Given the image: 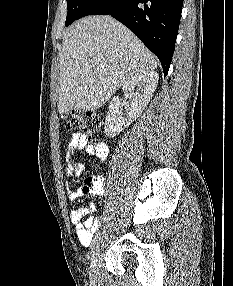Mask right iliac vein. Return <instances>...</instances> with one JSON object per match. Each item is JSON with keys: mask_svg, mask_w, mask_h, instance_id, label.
<instances>
[{"mask_svg": "<svg viewBox=\"0 0 233 286\" xmlns=\"http://www.w3.org/2000/svg\"><path fill=\"white\" fill-rule=\"evenodd\" d=\"M100 262H101L100 248L99 245H97L91 257V265L89 271L90 279L92 282H95L97 280Z\"/></svg>", "mask_w": 233, "mask_h": 286, "instance_id": "1", "label": "right iliac vein"}]
</instances>
